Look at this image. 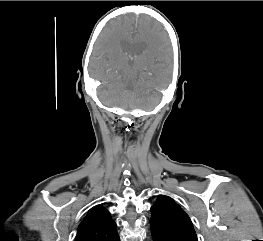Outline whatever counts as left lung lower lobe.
Segmentation results:
<instances>
[{
  "mask_svg": "<svg viewBox=\"0 0 263 241\" xmlns=\"http://www.w3.org/2000/svg\"><path fill=\"white\" fill-rule=\"evenodd\" d=\"M151 234L157 241H187L184 237L168 230L158 223L150 221Z\"/></svg>",
  "mask_w": 263,
  "mask_h": 241,
  "instance_id": "1",
  "label": "left lung lower lobe"
}]
</instances>
